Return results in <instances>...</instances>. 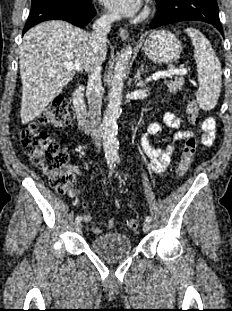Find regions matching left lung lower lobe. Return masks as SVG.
<instances>
[{
	"label": "left lung lower lobe",
	"mask_w": 232,
	"mask_h": 311,
	"mask_svg": "<svg viewBox=\"0 0 232 311\" xmlns=\"http://www.w3.org/2000/svg\"><path fill=\"white\" fill-rule=\"evenodd\" d=\"M156 16L151 29L179 21H203L216 27L223 36L216 0H155Z\"/></svg>",
	"instance_id": "0a47b994"
}]
</instances>
